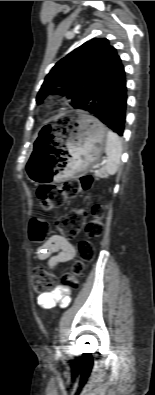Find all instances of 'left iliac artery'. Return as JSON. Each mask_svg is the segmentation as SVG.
Wrapping results in <instances>:
<instances>
[{
    "label": "left iliac artery",
    "instance_id": "1",
    "mask_svg": "<svg viewBox=\"0 0 155 395\" xmlns=\"http://www.w3.org/2000/svg\"><path fill=\"white\" fill-rule=\"evenodd\" d=\"M57 354V356H60L61 355V353H60V350H59V348H57V352H56Z\"/></svg>",
    "mask_w": 155,
    "mask_h": 395
}]
</instances>
